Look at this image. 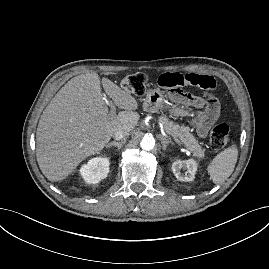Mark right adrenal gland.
<instances>
[{
  "mask_svg": "<svg viewBox=\"0 0 269 269\" xmlns=\"http://www.w3.org/2000/svg\"><path fill=\"white\" fill-rule=\"evenodd\" d=\"M124 144H125V141H121V142H115V141H113V142H111V143H108V144L106 145V148H109V147H111V146H114V147H117L118 150H120L121 147H122Z\"/></svg>",
  "mask_w": 269,
  "mask_h": 269,
  "instance_id": "obj_1",
  "label": "right adrenal gland"
}]
</instances>
